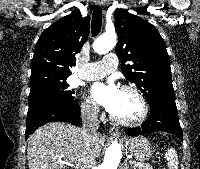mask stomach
<instances>
[{
    "label": "stomach",
    "mask_w": 200,
    "mask_h": 169,
    "mask_svg": "<svg viewBox=\"0 0 200 169\" xmlns=\"http://www.w3.org/2000/svg\"><path fill=\"white\" fill-rule=\"evenodd\" d=\"M128 148L131 154L141 162L149 160L153 153L150 143L144 137L130 139L128 141Z\"/></svg>",
    "instance_id": "stomach-1"
}]
</instances>
